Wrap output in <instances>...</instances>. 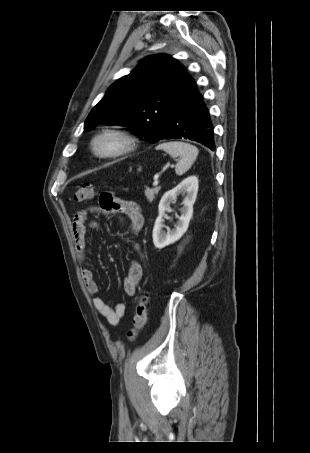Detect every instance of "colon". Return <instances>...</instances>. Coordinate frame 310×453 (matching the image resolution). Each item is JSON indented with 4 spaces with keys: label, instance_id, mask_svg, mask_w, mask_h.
Segmentation results:
<instances>
[{
    "label": "colon",
    "instance_id": "5ec220e1",
    "mask_svg": "<svg viewBox=\"0 0 310 453\" xmlns=\"http://www.w3.org/2000/svg\"><path fill=\"white\" fill-rule=\"evenodd\" d=\"M94 194L95 188L92 184H82L75 190L74 200L76 202H84L91 199ZM114 198L111 193H103L100 196V205L104 209H109L113 204ZM147 303L148 297L146 294H142L137 298L135 312L132 318V328L127 334L131 340L137 336L147 322Z\"/></svg>",
    "mask_w": 310,
    "mask_h": 453
}]
</instances>
